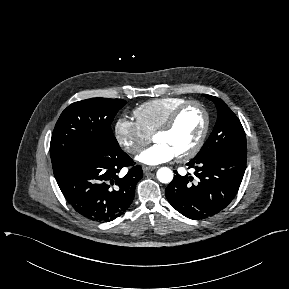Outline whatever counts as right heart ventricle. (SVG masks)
I'll use <instances>...</instances> for the list:
<instances>
[{"mask_svg":"<svg viewBox=\"0 0 289 289\" xmlns=\"http://www.w3.org/2000/svg\"><path fill=\"white\" fill-rule=\"evenodd\" d=\"M187 99L182 97L157 98L136 107L133 114L136 122L149 135H152Z\"/></svg>","mask_w":289,"mask_h":289,"instance_id":"e07e8e85","label":"right heart ventricle"}]
</instances>
